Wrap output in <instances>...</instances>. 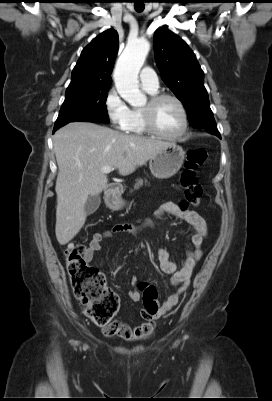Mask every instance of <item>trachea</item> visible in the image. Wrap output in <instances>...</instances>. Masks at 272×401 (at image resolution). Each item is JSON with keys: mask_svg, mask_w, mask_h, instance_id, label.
<instances>
[{"mask_svg": "<svg viewBox=\"0 0 272 401\" xmlns=\"http://www.w3.org/2000/svg\"><path fill=\"white\" fill-rule=\"evenodd\" d=\"M134 8L137 12H142L144 10V3L142 0H134Z\"/></svg>", "mask_w": 272, "mask_h": 401, "instance_id": "1", "label": "trachea"}]
</instances>
